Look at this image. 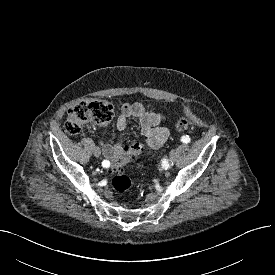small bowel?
<instances>
[{"mask_svg": "<svg viewBox=\"0 0 275 275\" xmlns=\"http://www.w3.org/2000/svg\"><path fill=\"white\" fill-rule=\"evenodd\" d=\"M130 117L137 118L141 128L146 146L152 149H158L164 145L169 137V130L161 126L165 116L159 112H150L140 103H126L121 108L116 126L120 131H124L128 126ZM102 153L106 160L114 161L130 154L131 148H125L120 141L115 144L101 142Z\"/></svg>", "mask_w": 275, "mask_h": 275, "instance_id": "1", "label": "small bowel"}]
</instances>
